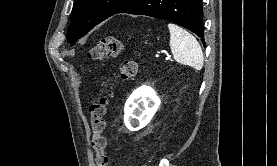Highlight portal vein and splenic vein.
I'll return each mask as SVG.
<instances>
[{"instance_id": "portal-vein-and-splenic-vein-1", "label": "portal vein and splenic vein", "mask_w": 277, "mask_h": 166, "mask_svg": "<svg viewBox=\"0 0 277 166\" xmlns=\"http://www.w3.org/2000/svg\"><path fill=\"white\" fill-rule=\"evenodd\" d=\"M155 57H157V58H158V57H159V55H155Z\"/></svg>"}]
</instances>
